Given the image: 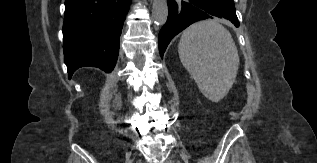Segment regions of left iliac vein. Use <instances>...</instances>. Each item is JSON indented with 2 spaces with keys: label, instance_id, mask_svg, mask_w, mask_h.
Here are the masks:
<instances>
[{
  "label": "left iliac vein",
  "instance_id": "1",
  "mask_svg": "<svg viewBox=\"0 0 317 163\" xmlns=\"http://www.w3.org/2000/svg\"><path fill=\"white\" fill-rule=\"evenodd\" d=\"M166 163H172L171 161H167Z\"/></svg>",
  "mask_w": 317,
  "mask_h": 163
}]
</instances>
